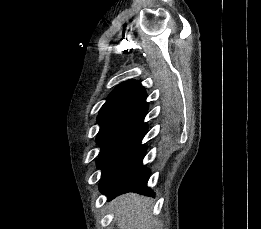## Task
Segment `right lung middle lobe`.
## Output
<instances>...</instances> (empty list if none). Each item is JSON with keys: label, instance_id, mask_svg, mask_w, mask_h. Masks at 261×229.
<instances>
[{"label": "right lung middle lobe", "instance_id": "dd1d6c3e", "mask_svg": "<svg viewBox=\"0 0 261 229\" xmlns=\"http://www.w3.org/2000/svg\"><path fill=\"white\" fill-rule=\"evenodd\" d=\"M146 134V130L139 131L132 138V146L124 150H108L102 149L97 160V166L102 169L104 175L118 161L131 155L141 147V140Z\"/></svg>", "mask_w": 261, "mask_h": 229}]
</instances>
